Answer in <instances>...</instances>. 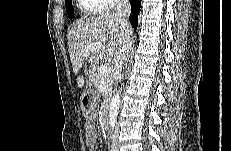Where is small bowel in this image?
Returning <instances> with one entry per match:
<instances>
[{
	"label": "small bowel",
	"instance_id": "c3829d8e",
	"mask_svg": "<svg viewBox=\"0 0 231 151\" xmlns=\"http://www.w3.org/2000/svg\"><path fill=\"white\" fill-rule=\"evenodd\" d=\"M84 129H85L86 146L89 151H93L97 141V135L93 125V116L87 117L84 124Z\"/></svg>",
	"mask_w": 231,
	"mask_h": 151
}]
</instances>
